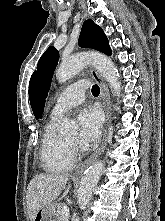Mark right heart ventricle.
Returning a JSON list of instances; mask_svg holds the SVG:
<instances>
[{
	"label": "right heart ventricle",
	"mask_w": 165,
	"mask_h": 221,
	"mask_svg": "<svg viewBox=\"0 0 165 221\" xmlns=\"http://www.w3.org/2000/svg\"><path fill=\"white\" fill-rule=\"evenodd\" d=\"M39 156L41 167L46 172H67L75 165V156L57 132L56 118H51L44 128Z\"/></svg>",
	"instance_id": "right-heart-ventricle-1"
}]
</instances>
